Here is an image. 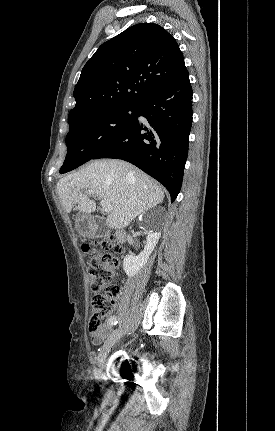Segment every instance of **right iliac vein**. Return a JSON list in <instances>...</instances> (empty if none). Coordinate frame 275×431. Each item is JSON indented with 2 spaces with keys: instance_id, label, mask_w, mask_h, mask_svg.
I'll use <instances>...</instances> for the list:
<instances>
[{
  "instance_id": "1",
  "label": "right iliac vein",
  "mask_w": 275,
  "mask_h": 431,
  "mask_svg": "<svg viewBox=\"0 0 275 431\" xmlns=\"http://www.w3.org/2000/svg\"><path fill=\"white\" fill-rule=\"evenodd\" d=\"M124 330L119 329L110 334L105 341L96 361L95 375L99 377L102 374V369L106 360V357L111 350L112 346L123 336Z\"/></svg>"
}]
</instances>
